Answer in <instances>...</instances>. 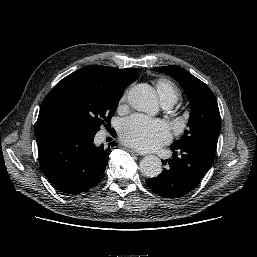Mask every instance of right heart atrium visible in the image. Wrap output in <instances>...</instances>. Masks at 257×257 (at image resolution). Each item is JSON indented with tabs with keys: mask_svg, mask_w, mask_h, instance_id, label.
Returning <instances> with one entry per match:
<instances>
[{
	"mask_svg": "<svg viewBox=\"0 0 257 257\" xmlns=\"http://www.w3.org/2000/svg\"><path fill=\"white\" fill-rule=\"evenodd\" d=\"M125 100H126V95H124V96L121 98L120 103H121V104L124 103Z\"/></svg>",
	"mask_w": 257,
	"mask_h": 257,
	"instance_id": "right-heart-atrium-1",
	"label": "right heart atrium"
}]
</instances>
